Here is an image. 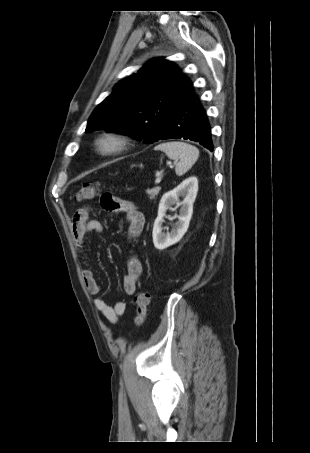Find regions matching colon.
Instances as JSON below:
<instances>
[{
	"instance_id": "obj_1",
	"label": "colon",
	"mask_w": 310,
	"mask_h": 453,
	"mask_svg": "<svg viewBox=\"0 0 310 453\" xmlns=\"http://www.w3.org/2000/svg\"><path fill=\"white\" fill-rule=\"evenodd\" d=\"M99 193V184H83L75 193V199L79 202L92 199ZM114 204V198L110 194H104L101 197V205L105 209H110ZM150 300V294L147 290H140L135 296V317L134 323L137 326L143 325L146 319L147 307Z\"/></svg>"
}]
</instances>
